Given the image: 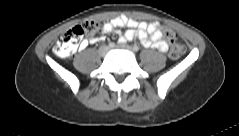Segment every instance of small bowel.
<instances>
[{"mask_svg": "<svg viewBox=\"0 0 239 136\" xmlns=\"http://www.w3.org/2000/svg\"><path fill=\"white\" fill-rule=\"evenodd\" d=\"M121 27L128 28L124 33L119 34V42L121 43L138 39L143 46L155 48L160 52H165L168 48L167 42L163 39L162 26L158 22H139L121 15L105 23L102 33L108 34ZM101 40V37L90 38L83 41L81 47L99 43Z\"/></svg>", "mask_w": 239, "mask_h": 136, "instance_id": "small-bowel-1", "label": "small bowel"}]
</instances>
